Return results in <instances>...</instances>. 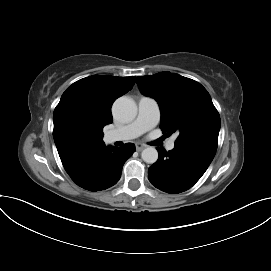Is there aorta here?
<instances>
[{
    "instance_id": "762f6f07",
    "label": "aorta",
    "mask_w": 271,
    "mask_h": 271,
    "mask_svg": "<svg viewBox=\"0 0 271 271\" xmlns=\"http://www.w3.org/2000/svg\"><path fill=\"white\" fill-rule=\"evenodd\" d=\"M113 113L119 120L129 122L136 117L137 106L131 98L120 97L113 105ZM141 157L144 162L153 164L158 160V152L154 147L150 146L142 151Z\"/></svg>"
}]
</instances>
